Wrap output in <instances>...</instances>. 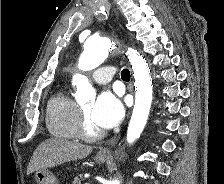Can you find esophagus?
Listing matches in <instances>:
<instances>
[{"label": "esophagus", "instance_id": "34e87169", "mask_svg": "<svg viewBox=\"0 0 224 184\" xmlns=\"http://www.w3.org/2000/svg\"><path fill=\"white\" fill-rule=\"evenodd\" d=\"M114 12H115V15H116L117 20L119 21V14H118V12L115 9H114ZM98 154L100 156H109L110 155V149L109 148H103V149H101L98 152Z\"/></svg>", "mask_w": 224, "mask_h": 184}]
</instances>
